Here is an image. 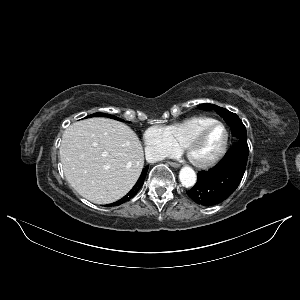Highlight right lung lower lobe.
I'll use <instances>...</instances> for the list:
<instances>
[{
  "instance_id": "right-lung-lower-lobe-1",
  "label": "right lung lower lobe",
  "mask_w": 300,
  "mask_h": 300,
  "mask_svg": "<svg viewBox=\"0 0 300 300\" xmlns=\"http://www.w3.org/2000/svg\"><path fill=\"white\" fill-rule=\"evenodd\" d=\"M147 170H148V166H146L142 173H141V176L139 178V180L137 181V183L134 185V187L130 190V192L124 196L122 199H120L119 201L115 202V203H112L111 205L113 206H117V205H120L126 201H128L129 199H131L132 197H134L137 192L140 190L141 186L143 185V182H144V179L146 177V173H147Z\"/></svg>"
}]
</instances>
